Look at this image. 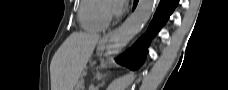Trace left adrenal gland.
<instances>
[{"label":"left adrenal gland","instance_id":"a2214340","mask_svg":"<svg viewBox=\"0 0 228 90\" xmlns=\"http://www.w3.org/2000/svg\"><path fill=\"white\" fill-rule=\"evenodd\" d=\"M96 78L98 81H100V80H102L103 76L100 73H97Z\"/></svg>","mask_w":228,"mask_h":90}]
</instances>
